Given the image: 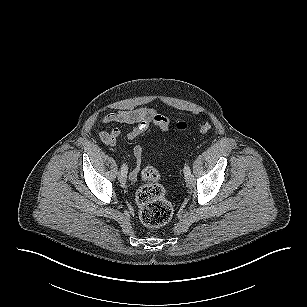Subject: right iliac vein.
Returning <instances> with one entry per match:
<instances>
[{"label": "right iliac vein", "mask_w": 307, "mask_h": 307, "mask_svg": "<svg viewBox=\"0 0 307 307\" xmlns=\"http://www.w3.org/2000/svg\"><path fill=\"white\" fill-rule=\"evenodd\" d=\"M118 178H119V181H120L121 183H125L126 180H127V175H126V173L120 171V172H119V175H118Z\"/></svg>", "instance_id": "obj_1"}]
</instances>
